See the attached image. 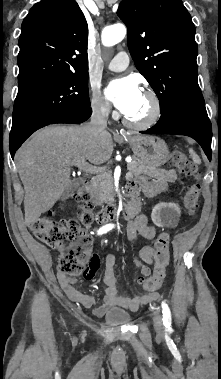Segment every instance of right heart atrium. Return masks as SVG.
<instances>
[{"label":"right heart atrium","instance_id":"1","mask_svg":"<svg viewBox=\"0 0 221 379\" xmlns=\"http://www.w3.org/2000/svg\"><path fill=\"white\" fill-rule=\"evenodd\" d=\"M90 107L92 112L100 117H107L111 111L109 105L96 87H91Z\"/></svg>","mask_w":221,"mask_h":379}]
</instances>
